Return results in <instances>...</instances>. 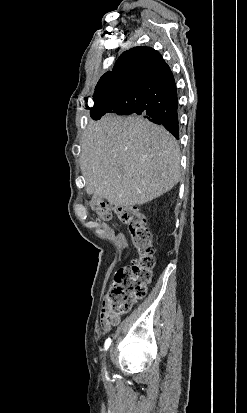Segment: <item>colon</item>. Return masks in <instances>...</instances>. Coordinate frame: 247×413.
Listing matches in <instances>:
<instances>
[{
  "instance_id": "5ec220e1",
  "label": "colon",
  "mask_w": 247,
  "mask_h": 413,
  "mask_svg": "<svg viewBox=\"0 0 247 413\" xmlns=\"http://www.w3.org/2000/svg\"><path fill=\"white\" fill-rule=\"evenodd\" d=\"M90 208L106 222L112 220L115 213L125 224L137 251L133 265L120 269L111 288L110 310L113 314L126 313L147 293V287L154 278L156 265L153 233L147 226L145 216L136 208L114 206L96 198Z\"/></svg>"
}]
</instances>
